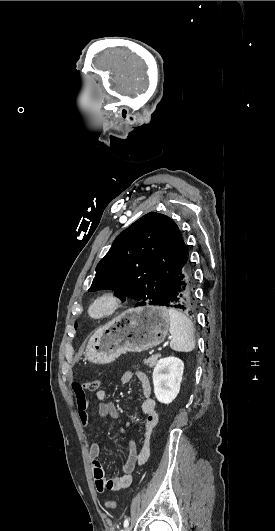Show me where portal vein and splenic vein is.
<instances>
[{"instance_id": "obj_1", "label": "portal vein and splenic vein", "mask_w": 275, "mask_h": 531, "mask_svg": "<svg viewBox=\"0 0 275 531\" xmlns=\"http://www.w3.org/2000/svg\"><path fill=\"white\" fill-rule=\"evenodd\" d=\"M170 342H171V339H168V341L164 343V346H169ZM161 350H162V347H159L158 352H161Z\"/></svg>"}]
</instances>
